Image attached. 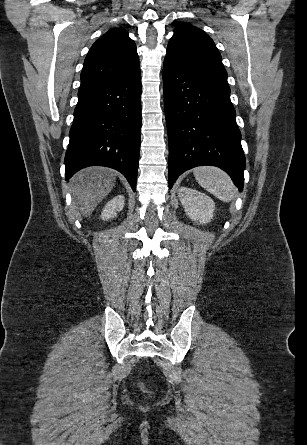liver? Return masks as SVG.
<instances>
[{"label": "liver", "mask_w": 307, "mask_h": 445, "mask_svg": "<svg viewBox=\"0 0 307 445\" xmlns=\"http://www.w3.org/2000/svg\"><path fill=\"white\" fill-rule=\"evenodd\" d=\"M113 172L105 166H88L72 176V204L83 216L91 214L98 202L111 192L116 182Z\"/></svg>", "instance_id": "liver-1"}]
</instances>
